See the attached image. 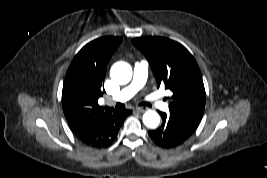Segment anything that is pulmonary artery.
<instances>
[{
    "label": "pulmonary artery",
    "instance_id": "e3ab8cb5",
    "mask_svg": "<svg viewBox=\"0 0 267 178\" xmlns=\"http://www.w3.org/2000/svg\"><path fill=\"white\" fill-rule=\"evenodd\" d=\"M148 76V64L145 61L138 62L134 65L133 71V79L132 82L123 88L119 93L111 98V101L116 102H125L132 98L139 89H141L146 83ZM153 104L158 107L165 109L167 107L166 104L154 101Z\"/></svg>",
    "mask_w": 267,
    "mask_h": 178
}]
</instances>
